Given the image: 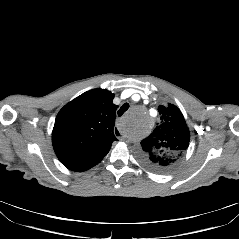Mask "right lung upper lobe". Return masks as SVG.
I'll return each mask as SVG.
<instances>
[{
	"label": "right lung upper lobe",
	"instance_id": "obj_1",
	"mask_svg": "<svg viewBox=\"0 0 239 239\" xmlns=\"http://www.w3.org/2000/svg\"><path fill=\"white\" fill-rule=\"evenodd\" d=\"M106 89L87 91L58 113L52 132L54 151L70 170L86 171L97 165L117 140L113 131L117 105Z\"/></svg>",
	"mask_w": 239,
	"mask_h": 239
}]
</instances>
